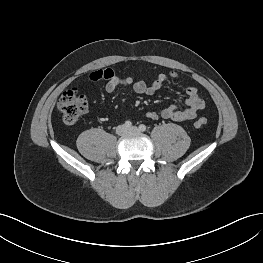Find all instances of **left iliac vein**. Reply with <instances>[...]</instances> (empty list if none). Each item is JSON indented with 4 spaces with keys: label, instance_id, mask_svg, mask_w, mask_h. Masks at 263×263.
<instances>
[{
    "label": "left iliac vein",
    "instance_id": "left-iliac-vein-1",
    "mask_svg": "<svg viewBox=\"0 0 263 263\" xmlns=\"http://www.w3.org/2000/svg\"><path fill=\"white\" fill-rule=\"evenodd\" d=\"M127 131L128 132H135V133H137V132H139V129L136 126H133V127L129 128V129H127Z\"/></svg>",
    "mask_w": 263,
    "mask_h": 263
}]
</instances>
